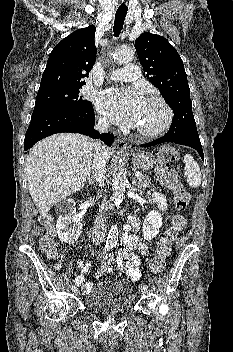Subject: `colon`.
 Returning <instances> with one entry per match:
<instances>
[{
  "label": "colon",
  "mask_w": 233,
  "mask_h": 352,
  "mask_svg": "<svg viewBox=\"0 0 233 352\" xmlns=\"http://www.w3.org/2000/svg\"><path fill=\"white\" fill-rule=\"evenodd\" d=\"M178 158V152L171 147L162 148L157 155L156 174L160 182L170 188L174 193L175 207L179 214H176L171 222L170 227L166 230L164 236L158 241L155 253L150 260L149 268L154 274L163 271L166 260L171 254L173 241L178 234L182 232L187 225L186 218L180 214L186 210L190 196L183 188L176 172L172 168V163ZM40 249L50 259H55L58 255V245L55 240V228L51 221L45 224V234L39 240ZM114 264V258L111 255L105 256L95 276L100 277L111 270Z\"/></svg>",
  "instance_id": "5ec220e1"
}]
</instances>
